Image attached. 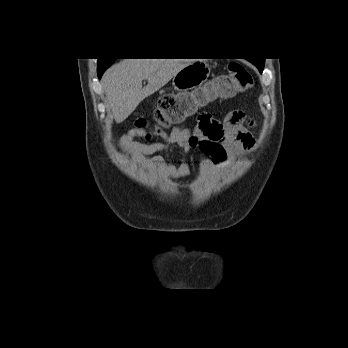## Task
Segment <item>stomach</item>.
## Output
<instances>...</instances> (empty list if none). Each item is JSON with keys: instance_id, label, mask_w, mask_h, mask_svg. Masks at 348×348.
I'll list each match as a JSON object with an SVG mask.
<instances>
[{"instance_id": "obj_1", "label": "stomach", "mask_w": 348, "mask_h": 348, "mask_svg": "<svg viewBox=\"0 0 348 348\" xmlns=\"http://www.w3.org/2000/svg\"><path fill=\"white\" fill-rule=\"evenodd\" d=\"M210 75V67L206 62L194 61L181 69L172 79V88L183 95L185 115L194 114L198 108L209 103L207 97L194 93L193 90L201 87Z\"/></svg>"}]
</instances>
